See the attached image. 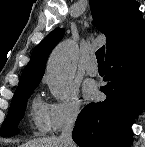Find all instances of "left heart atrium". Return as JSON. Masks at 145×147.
Masks as SVG:
<instances>
[{
	"label": "left heart atrium",
	"mask_w": 145,
	"mask_h": 147,
	"mask_svg": "<svg viewBox=\"0 0 145 147\" xmlns=\"http://www.w3.org/2000/svg\"><path fill=\"white\" fill-rule=\"evenodd\" d=\"M84 92H85V96H86L88 99L95 98L96 95H97L96 87H95L93 84H87V85L85 86Z\"/></svg>",
	"instance_id": "1"
}]
</instances>
